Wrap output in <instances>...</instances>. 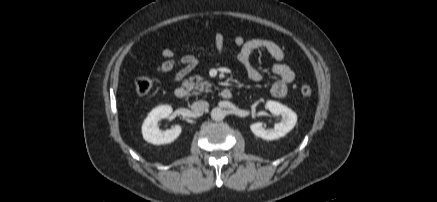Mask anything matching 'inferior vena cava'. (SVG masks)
<instances>
[{
	"instance_id": "602c4592",
	"label": "inferior vena cava",
	"mask_w": 437,
	"mask_h": 202,
	"mask_svg": "<svg viewBox=\"0 0 437 202\" xmlns=\"http://www.w3.org/2000/svg\"><path fill=\"white\" fill-rule=\"evenodd\" d=\"M209 103L207 101H196L192 104L191 109L196 116H201L208 110Z\"/></svg>"
}]
</instances>
